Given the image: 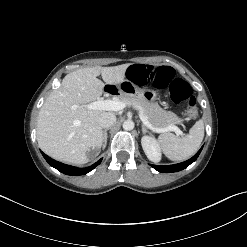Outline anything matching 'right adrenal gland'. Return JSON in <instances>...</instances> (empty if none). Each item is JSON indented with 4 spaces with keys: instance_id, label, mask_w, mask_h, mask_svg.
Here are the masks:
<instances>
[{
    "instance_id": "2a0ac1e0",
    "label": "right adrenal gland",
    "mask_w": 247,
    "mask_h": 247,
    "mask_svg": "<svg viewBox=\"0 0 247 247\" xmlns=\"http://www.w3.org/2000/svg\"><path fill=\"white\" fill-rule=\"evenodd\" d=\"M109 130V128H106L104 131H103V147L105 148L106 145H107V131Z\"/></svg>"
}]
</instances>
